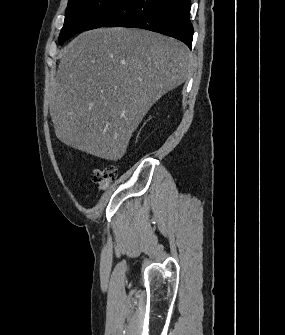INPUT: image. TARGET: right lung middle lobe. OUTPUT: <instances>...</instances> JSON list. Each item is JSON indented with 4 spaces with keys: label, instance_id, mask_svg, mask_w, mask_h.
<instances>
[{
    "label": "right lung middle lobe",
    "instance_id": "1",
    "mask_svg": "<svg viewBox=\"0 0 285 335\" xmlns=\"http://www.w3.org/2000/svg\"><path fill=\"white\" fill-rule=\"evenodd\" d=\"M116 0H69L66 9L64 26L59 35V43L62 45L96 16L106 10Z\"/></svg>",
    "mask_w": 285,
    "mask_h": 335
}]
</instances>
